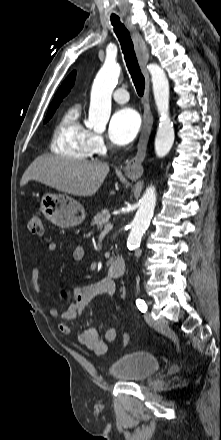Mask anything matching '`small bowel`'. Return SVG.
Masks as SVG:
<instances>
[{"label": "small bowel", "instance_id": "small-bowel-1", "mask_svg": "<svg viewBox=\"0 0 221 440\" xmlns=\"http://www.w3.org/2000/svg\"><path fill=\"white\" fill-rule=\"evenodd\" d=\"M47 250L54 254L57 251V244L50 242L47 245ZM84 258V249L81 246H77L73 251V260L80 262ZM41 273L40 267L36 266L32 270L34 288L36 292L41 291L39 284V276ZM116 291L115 282L111 278H103L97 282L78 286L73 291V296L68 306L61 315L62 322L58 323L59 331L66 336H74L76 340L85 348L95 352L96 354H105L108 346L116 339V329L110 326L106 329L103 338H100L94 327L86 328L82 333L75 335L72 328L67 324V321L78 318L85 310L89 302L98 295H107L113 297ZM50 315L53 318L59 317L57 309L52 308Z\"/></svg>", "mask_w": 221, "mask_h": 440}]
</instances>
